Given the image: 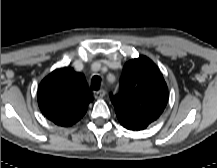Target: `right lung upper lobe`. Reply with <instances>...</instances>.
<instances>
[{
    "mask_svg": "<svg viewBox=\"0 0 217 168\" xmlns=\"http://www.w3.org/2000/svg\"><path fill=\"white\" fill-rule=\"evenodd\" d=\"M92 102L83 75L71 67L56 69L45 77L38 88V105L42 113L59 126L68 127L79 121Z\"/></svg>",
    "mask_w": 217,
    "mask_h": 168,
    "instance_id": "1",
    "label": "right lung upper lobe"
}]
</instances>
